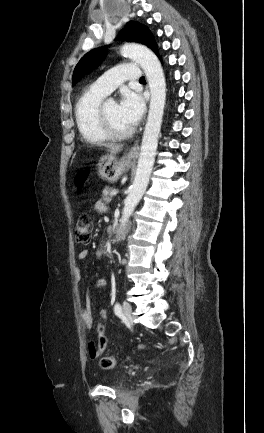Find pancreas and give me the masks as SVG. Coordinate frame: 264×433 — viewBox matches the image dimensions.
Returning a JSON list of instances; mask_svg holds the SVG:
<instances>
[{
    "label": "pancreas",
    "instance_id": "1",
    "mask_svg": "<svg viewBox=\"0 0 264 433\" xmlns=\"http://www.w3.org/2000/svg\"><path fill=\"white\" fill-rule=\"evenodd\" d=\"M113 191L112 187H105L103 192H102V196H103V200L107 203L111 202L113 195L111 194V192Z\"/></svg>",
    "mask_w": 264,
    "mask_h": 433
}]
</instances>
